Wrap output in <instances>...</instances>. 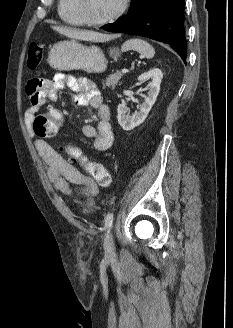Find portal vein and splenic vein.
<instances>
[{"instance_id":"obj_1","label":"portal vein and splenic vein","mask_w":233,"mask_h":328,"mask_svg":"<svg viewBox=\"0 0 233 328\" xmlns=\"http://www.w3.org/2000/svg\"><path fill=\"white\" fill-rule=\"evenodd\" d=\"M121 72H122V73H128L129 70H128V69H122Z\"/></svg>"}]
</instances>
